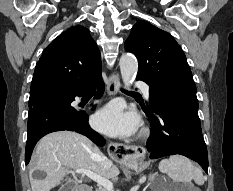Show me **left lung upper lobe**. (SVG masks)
Returning <instances> with one entry per match:
<instances>
[{
	"label": "left lung upper lobe",
	"mask_w": 233,
	"mask_h": 191,
	"mask_svg": "<svg viewBox=\"0 0 233 191\" xmlns=\"http://www.w3.org/2000/svg\"><path fill=\"white\" fill-rule=\"evenodd\" d=\"M125 50L138 59L137 78L149 85L150 101L157 94H177L197 100L185 54L169 33L139 21L125 41Z\"/></svg>",
	"instance_id": "5c2ea615"
}]
</instances>
